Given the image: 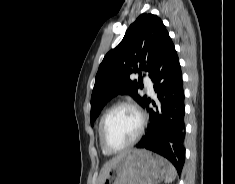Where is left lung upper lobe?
Masks as SVG:
<instances>
[{"instance_id": "obj_1", "label": "left lung upper lobe", "mask_w": 235, "mask_h": 184, "mask_svg": "<svg viewBox=\"0 0 235 184\" xmlns=\"http://www.w3.org/2000/svg\"><path fill=\"white\" fill-rule=\"evenodd\" d=\"M167 37L163 22L153 14H141L129 26L123 40L105 55L99 66L91 96V123L118 94H128L143 105L147 98L137 93L138 83L142 84L141 72L151 75L159 48ZM136 73L140 74L138 82L130 79Z\"/></svg>"}]
</instances>
